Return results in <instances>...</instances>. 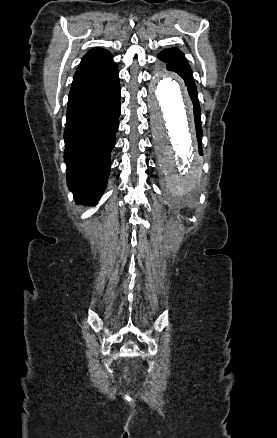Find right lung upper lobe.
Here are the masks:
<instances>
[{"label": "right lung upper lobe", "mask_w": 277, "mask_h": 438, "mask_svg": "<svg viewBox=\"0 0 277 438\" xmlns=\"http://www.w3.org/2000/svg\"><path fill=\"white\" fill-rule=\"evenodd\" d=\"M109 51L101 48L91 49L79 64L72 87L107 76L117 68ZM71 87V88H72Z\"/></svg>", "instance_id": "cb5924a9"}]
</instances>
